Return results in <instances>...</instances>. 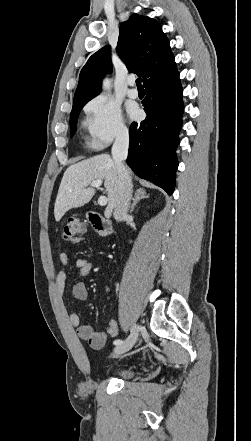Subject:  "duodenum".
<instances>
[{
	"mask_svg": "<svg viewBox=\"0 0 251 441\" xmlns=\"http://www.w3.org/2000/svg\"><path fill=\"white\" fill-rule=\"evenodd\" d=\"M88 221L95 231L101 236H108L111 234L110 223L102 217L99 213L90 211L87 214Z\"/></svg>",
	"mask_w": 251,
	"mask_h": 441,
	"instance_id": "duodenum-1",
	"label": "duodenum"
}]
</instances>
